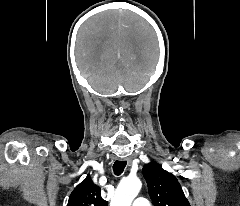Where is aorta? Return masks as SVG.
<instances>
[{
	"instance_id": "762f6f07",
	"label": "aorta",
	"mask_w": 240,
	"mask_h": 206,
	"mask_svg": "<svg viewBox=\"0 0 240 206\" xmlns=\"http://www.w3.org/2000/svg\"><path fill=\"white\" fill-rule=\"evenodd\" d=\"M141 187L142 183L138 178H126L122 180L116 189L110 206H131Z\"/></svg>"
}]
</instances>
